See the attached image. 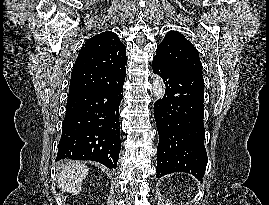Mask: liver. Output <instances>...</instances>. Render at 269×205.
Wrapping results in <instances>:
<instances>
[{"label": "liver", "mask_w": 269, "mask_h": 205, "mask_svg": "<svg viewBox=\"0 0 269 205\" xmlns=\"http://www.w3.org/2000/svg\"><path fill=\"white\" fill-rule=\"evenodd\" d=\"M58 187L62 192L77 195L82 191V182L88 175V168L79 161H68L58 166Z\"/></svg>", "instance_id": "obj_1"}]
</instances>
